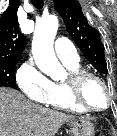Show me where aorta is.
<instances>
[{"mask_svg": "<svg viewBox=\"0 0 117 136\" xmlns=\"http://www.w3.org/2000/svg\"><path fill=\"white\" fill-rule=\"evenodd\" d=\"M58 24L55 15L43 16L36 23L32 41V53L37 66L53 79L65 74V69L58 61L53 48Z\"/></svg>", "mask_w": 117, "mask_h": 136, "instance_id": "obj_1", "label": "aorta"}]
</instances>
